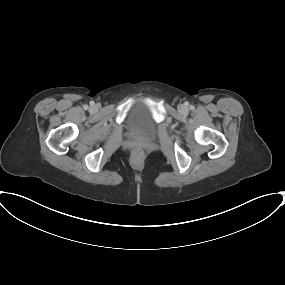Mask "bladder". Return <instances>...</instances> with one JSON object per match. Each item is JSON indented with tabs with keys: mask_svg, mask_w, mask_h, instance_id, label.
<instances>
[{
	"mask_svg": "<svg viewBox=\"0 0 285 285\" xmlns=\"http://www.w3.org/2000/svg\"><path fill=\"white\" fill-rule=\"evenodd\" d=\"M127 125L131 133L145 139L153 138L157 131L153 116L143 103H138L129 110Z\"/></svg>",
	"mask_w": 285,
	"mask_h": 285,
	"instance_id": "1",
	"label": "bladder"
}]
</instances>
